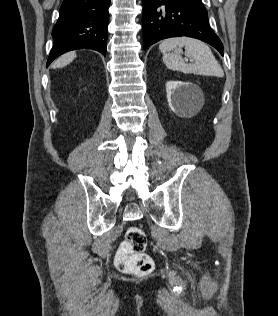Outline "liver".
I'll return each instance as SVG.
<instances>
[{"label":"liver","instance_id":"obj_1","mask_svg":"<svg viewBox=\"0 0 278 316\" xmlns=\"http://www.w3.org/2000/svg\"><path fill=\"white\" fill-rule=\"evenodd\" d=\"M76 58V52L72 51L69 53H66L62 55L59 59H57L54 64L52 65V68H62L71 63Z\"/></svg>","mask_w":278,"mask_h":316}]
</instances>
